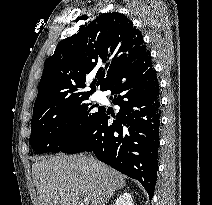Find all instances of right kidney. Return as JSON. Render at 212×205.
Segmentation results:
<instances>
[{"label": "right kidney", "instance_id": "right-kidney-1", "mask_svg": "<svg viewBox=\"0 0 212 205\" xmlns=\"http://www.w3.org/2000/svg\"><path fill=\"white\" fill-rule=\"evenodd\" d=\"M115 205H134L131 194L127 192L121 194L116 200Z\"/></svg>", "mask_w": 212, "mask_h": 205}]
</instances>
